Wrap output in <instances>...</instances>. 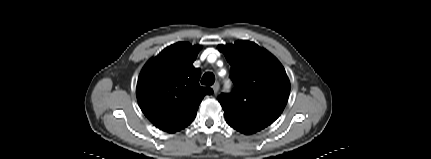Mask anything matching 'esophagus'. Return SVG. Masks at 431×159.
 <instances>
[{
    "label": "esophagus",
    "mask_w": 431,
    "mask_h": 159,
    "mask_svg": "<svg viewBox=\"0 0 431 159\" xmlns=\"http://www.w3.org/2000/svg\"><path fill=\"white\" fill-rule=\"evenodd\" d=\"M212 90H213V93H214V94H217V92H218V90H219V83H215V84L212 86Z\"/></svg>",
    "instance_id": "34e87169"
}]
</instances>
